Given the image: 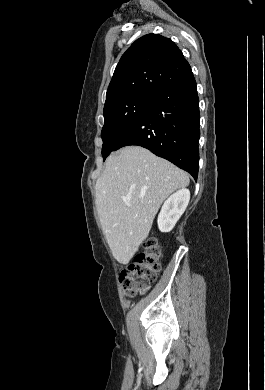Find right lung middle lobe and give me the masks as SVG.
Masks as SVG:
<instances>
[{"label":"right lung middle lobe","instance_id":"obj_1","mask_svg":"<svg viewBox=\"0 0 265 390\" xmlns=\"http://www.w3.org/2000/svg\"><path fill=\"white\" fill-rule=\"evenodd\" d=\"M155 97L153 95L137 94L104 107V126L101 132L103 160L112 151H115L121 136Z\"/></svg>","mask_w":265,"mask_h":390}]
</instances>
